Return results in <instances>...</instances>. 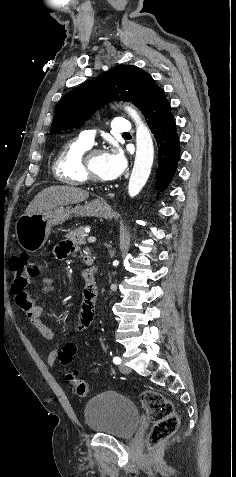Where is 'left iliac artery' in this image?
Segmentation results:
<instances>
[{"mask_svg":"<svg viewBox=\"0 0 236 477\" xmlns=\"http://www.w3.org/2000/svg\"><path fill=\"white\" fill-rule=\"evenodd\" d=\"M113 362H114L115 364H117V365L120 364V363H121L120 357H118V356L114 357V358H113Z\"/></svg>","mask_w":236,"mask_h":477,"instance_id":"1","label":"left iliac artery"}]
</instances>
